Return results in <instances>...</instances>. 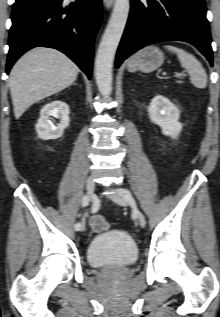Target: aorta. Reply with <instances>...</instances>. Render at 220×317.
<instances>
[{"label": "aorta", "instance_id": "obj_1", "mask_svg": "<svg viewBox=\"0 0 220 317\" xmlns=\"http://www.w3.org/2000/svg\"><path fill=\"white\" fill-rule=\"evenodd\" d=\"M130 0H115L113 12L102 36L95 61V80L100 94L107 98L112 91V66L128 19Z\"/></svg>", "mask_w": 220, "mask_h": 317}]
</instances>
